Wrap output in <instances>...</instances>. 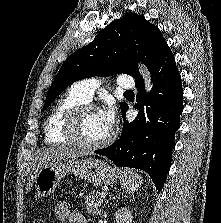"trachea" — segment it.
<instances>
[{
	"instance_id": "obj_1",
	"label": "trachea",
	"mask_w": 221,
	"mask_h": 223,
	"mask_svg": "<svg viewBox=\"0 0 221 223\" xmlns=\"http://www.w3.org/2000/svg\"><path fill=\"white\" fill-rule=\"evenodd\" d=\"M125 94H133L132 90L125 91Z\"/></svg>"
}]
</instances>
